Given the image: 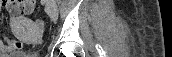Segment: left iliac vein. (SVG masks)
Wrapping results in <instances>:
<instances>
[{"mask_svg": "<svg viewBox=\"0 0 172 57\" xmlns=\"http://www.w3.org/2000/svg\"><path fill=\"white\" fill-rule=\"evenodd\" d=\"M46 9L49 17L52 21H56L58 17V7L54 0H48L46 4Z\"/></svg>", "mask_w": 172, "mask_h": 57, "instance_id": "left-iliac-vein-1", "label": "left iliac vein"}]
</instances>
